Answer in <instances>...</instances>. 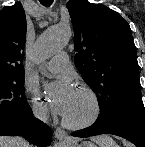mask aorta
Masks as SVG:
<instances>
[{"label":"aorta","instance_id":"762f6f07","mask_svg":"<svg viewBox=\"0 0 145 147\" xmlns=\"http://www.w3.org/2000/svg\"><path fill=\"white\" fill-rule=\"evenodd\" d=\"M71 35L68 25H56L46 29L36 42L33 58L41 63L63 48Z\"/></svg>","mask_w":145,"mask_h":147}]
</instances>
